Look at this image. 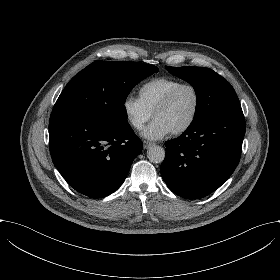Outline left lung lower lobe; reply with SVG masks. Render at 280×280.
Returning <instances> with one entry per match:
<instances>
[{
    "instance_id": "1",
    "label": "left lung lower lobe",
    "mask_w": 280,
    "mask_h": 280,
    "mask_svg": "<svg viewBox=\"0 0 280 280\" xmlns=\"http://www.w3.org/2000/svg\"><path fill=\"white\" fill-rule=\"evenodd\" d=\"M245 134L241 106L202 117L178 138L167 141L161 175L175 194L207 196L220 187L239 163Z\"/></svg>"
}]
</instances>
